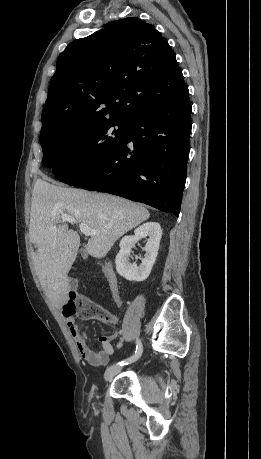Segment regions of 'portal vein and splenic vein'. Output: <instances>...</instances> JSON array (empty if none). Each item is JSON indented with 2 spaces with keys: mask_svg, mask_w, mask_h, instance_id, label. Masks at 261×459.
<instances>
[{
  "mask_svg": "<svg viewBox=\"0 0 261 459\" xmlns=\"http://www.w3.org/2000/svg\"><path fill=\"white\" fill-rule=\"evenodd\" d=\"M62 222H69L72 224H76L77 221L73 216H70L68 214H63L61 217ZM55 228V227H54ZM80 231L85 235V236H91L93 234H96V231L91 229L87 224H79Z\"/></svg>",
  "mask_w": 261,
  "mask_h": 459,
  "instance_id": "1",
  "label": "portal vein and splenic vein"
}]
</instances>
